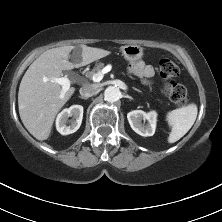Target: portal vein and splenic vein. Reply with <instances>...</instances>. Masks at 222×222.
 <instances>
[{
  "mask_svg": "<svg viewBox=\"0 0 222 222\" xmlns=\"http://www.w3.org/2000/svg\"><path fill=\"white\" fill-rule=\"evenodd\" d=\"M107 72L108 71L106 69H103L100 72L95 73L92 76V80L94 82H100L103 79L104 74ZM52 82L62 86V96L64 95V93H66L69 90L71 85V81L67 77L52 78Z\"/></svg>",
  "mask_w": 222,
  "mask_h": 222,
  "instance_id": "18ae733b",
  "label": "portal vein and splenic vein"
}]
</instances>
